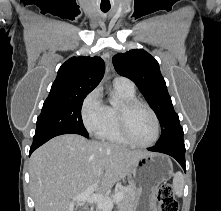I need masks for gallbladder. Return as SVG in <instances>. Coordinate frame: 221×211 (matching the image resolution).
<instances>
[{
	"label": "gallbladder",
	"instance_id": "gallbladder-1",
	"mask_svg": "<svg viewBox=\"0 0 221 211\" xmlns=\"http://www.w3.org/2000/svg\"><path fill=\"white\" fill-rule=\"evenodd\" d=\"M76 211H86L84 208H79Z\"/></svg>",
	"mask_w": 221,
	"mask_h": 211
}]
</instances>
